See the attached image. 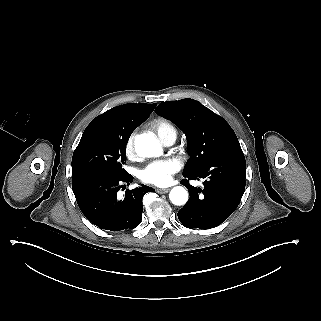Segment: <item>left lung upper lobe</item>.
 <instances>
[{
  "label": "left lung upper lobe",
  "mask_w": 321,
  "mask_h": 321,
  "mask_svg": "<svg viewBox=\"0 0 321 321\" xmlns=\"http://www.w3.org/2000/svg\"><path fill=\"white\" fill-rule=\"evenodd\" d=\"M156 113L175 123L186 135L190 159L184 173L199 171L213 158L241 151L239 141L229 124L193 99L162 102Z\"/></svg>",
  "instance_id": "5c2ea615"
}]
</instances>
